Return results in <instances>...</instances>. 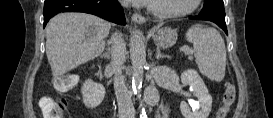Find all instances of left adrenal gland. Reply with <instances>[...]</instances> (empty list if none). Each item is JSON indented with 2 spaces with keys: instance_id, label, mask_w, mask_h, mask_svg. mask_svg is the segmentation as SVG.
<instances>
[{
  "instance_id": "a2214340",
  "label": "left adrenal gland",
  "mask_w": 273,
  "mask_h": 118,
  "mask_svg": "<svg viewBox=\"0 0 273 118\" xmlns=\"http://www.w3.org/2000/svg\"><path fill=\"white\" fill-rule=\"evenodd\" d=\"M161 58H164V55L161 54L159 48H157V51H156V59L159 60Z\"/></svg>"
}]
</instances>
